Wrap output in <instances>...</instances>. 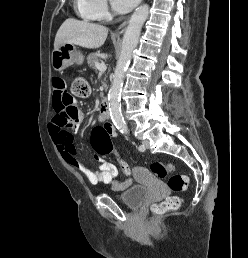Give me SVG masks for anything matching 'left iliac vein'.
I'll use <instances>...</instances> for the list:
<instances>
[{"mask_svg": "<svg viewBox=\"0 0 248 258\" xmlns=\"http://www.w3.org/2000/svg\"><path fill=\"white\" fill-rule=\"evenodd\" d=\"M142 145H143V147H144L145 149H147V148L149 147V142H148V140H143V141H142Z\"/></svg>", "mask_w": 248, "mask_h": 258, "instance_id": "1", "label": "left iliac vein"}]
</instances>
